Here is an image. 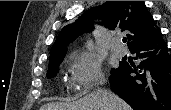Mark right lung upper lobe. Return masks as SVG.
Masks as SVG:
<instances>
[{"mask_svg": "<svg viewBox=\"0 0 171 110\" xmlns=\"http://www.w3.org/2000/svg\"><path fill=\"white\" fill-rule=\"evenodd\" d=\"M95 18L105 20L109 29L120 28L122 31H129V49L161 33L143 1H107L102 6L87 10L74 24L67 25L60 31L51 48L50 59L65 55L69 43L79 35L91 31V22Z\"/></svg>", "mask_w": 171, "mask_h": 110, "instance_id": "right-lung-upper-lobe-1", "label": "right lung upper lobe"}]
</instances>
